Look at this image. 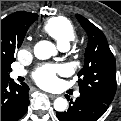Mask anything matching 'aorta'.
<instances>
[{
    "instance_id": "1",
    "label": "aorta",
    "mask_w": 121,
    "mask_h": 121,
    "mask_svg": "<svg viewBox=\"0 0 121 121\" xmlns=\"http://www.w3.org/2000/svg\"><path fill=\"white\" fill-rule=\"evenodd\" d=\"M56 47L50 41H40L34 46V55L40 60L49 59L56 55ZM68 106V101L65 98L59 97L54 101V109L58 112H63Z\"/></svg>"
}]
</instances>
